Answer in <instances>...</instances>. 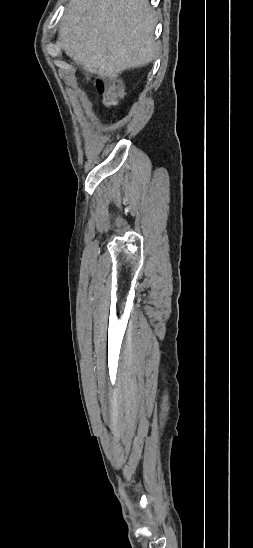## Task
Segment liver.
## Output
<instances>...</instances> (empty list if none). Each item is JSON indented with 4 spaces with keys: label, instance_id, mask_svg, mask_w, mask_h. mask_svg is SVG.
I'll return each mask as SVG.
<instances>
[{
    "label": "liver",
    "instance_id": "liver-1",
    "mask_svg": "<svg viewBox=\"0 0 253 548\" xmlns=\"http://www.w3.org/2000/svg\"><path fill=\"white\" fill-rule=\"evenodd\" d=\"M62 20L65 52L101 78L156 57V17L148 0H70Z\"/></svg>",
    "mask_w": 253,
    "mask_h": 548
}]
</instances>
